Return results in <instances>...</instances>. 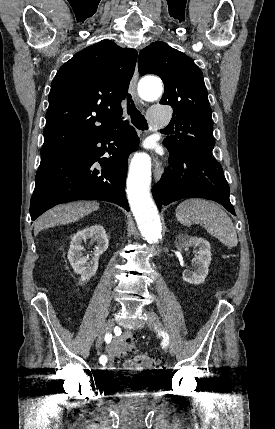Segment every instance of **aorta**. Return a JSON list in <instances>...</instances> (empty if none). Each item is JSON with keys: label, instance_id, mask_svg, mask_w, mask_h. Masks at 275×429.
<instances>
[{"label": "aorta", "instance_id": "aorta-1", "mask_svg": "<svg viewBox=\"0 0 275 429\" xmlns=\"http://www.w3.org/2000/svg\"><path fill=\"white\" fill-rule=\"evenodd\" d=\"M162 91V83L156 78H147L140 84V95L146 101L158 99ZM150 184V160L146 156L136 155L127 178L128 200L141 235L147 242L156 243L162 237L161 222L150 195Z\"/></svg>", "mask_w": 275, "mask_h": 429}]
</instances>
